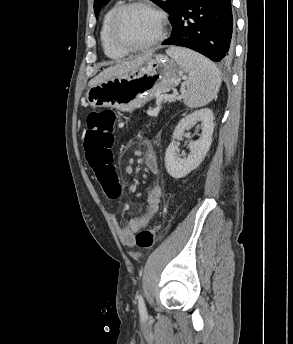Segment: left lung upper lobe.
Here are the masks:
<instances>
[{"instance_id":"1","label":"left lung upper lobe","mask_w":293,"mask_h":344,"mask_svg":"<svg viewBox=\"0 0 293 344\" xmlns=\"http://www.w3.org/2000/svg\"><path fill=\"white\" fill-rule=\"evenodd\" d=\"M110 0H95L94 11L95 15L98 16L101 8L105 6ZM161 8H163L170 15V22L172 21L180 0H151Z\"/></svg>"}]
</instances>
